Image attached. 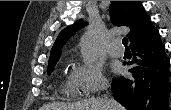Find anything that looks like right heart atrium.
<instances>
[{
  "label": "right heart atrium",
  "mask_w": 171,
  "mask_h": 110,
  "mask_svg": "<svg viewBox=\"0 0 171 110\" xmlns=\"http://www.w3.org/2000/svg\"><path fill=\"white\" fill-rule=\"evenodd\" d=\"M83 95L89 96L107 86V79L100 65L95 63L78 64L71 74Z\"/></svg>",
  "instance_id": "right-heart-atrium-1"
}]
</instances>
